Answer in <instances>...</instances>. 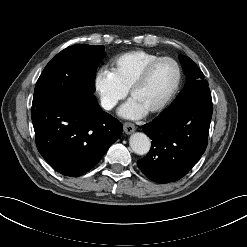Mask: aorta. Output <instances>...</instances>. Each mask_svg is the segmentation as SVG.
I'll list each match as a JSON object with an SVG mask.
<instances>
[{"mask_svg":"<svg viewBox=\"0 0 247 247\" xmlns=\"http://www.w3.org/2000/svg\"><path fill=\"white\" fill-rule=\"evenodd\" d=\"M129 144L131 149L138 155L147 154L151 146L149 137L141 132L132 134L129 139Z\"/></svg>","mask_w":247,"mask_h":247,"instance_id":"aorta-1","label":"aorta"}]
</instances>
